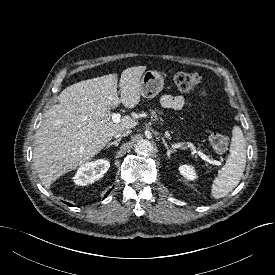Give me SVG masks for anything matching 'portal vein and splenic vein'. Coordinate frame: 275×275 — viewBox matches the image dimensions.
<instances>
[{
  "mask_svg": "<svg viewBox=\"0 0 275 275\" xmlns=\"http://www.w3.org/2000/svg\"><path fill=\"white\" fill-rule=\"evenodd\" d=\"M111 118H112V121L114 123H118L121 120V115H120V113H113L111 115ZM194 152L197 153L200 156V158L202 160H204L205 162H208V163L213 164V165H218V166H220L222 164L221 161L210 160L205 154H203L202 152H200L196 149H194Z\"/></svg>",
  "mask_w": 275,
  "mask_h": 275,
  "instance_id": "1",
  "label": "portal vein and splenic vein"
}]
</instances>
